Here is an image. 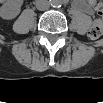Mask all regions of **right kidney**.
Masks as SVG:
<instances>
[{
    "instance_id": "1",
    "label": "right kidney",
    "mask_w": 103,
    "mask_h": 103,
    "mask_svg": "<svg viewBox=\"0 0 103 103\" xmlns=\"http://www.w3.org/2000/svg\"><path fill=\"white\" fill-rule=\"evenodd\" d=\"M22 2L7 1L0 8V15L3 19L11 20L14 19L21 9Z\"/></svg>"
}]
</instances>
